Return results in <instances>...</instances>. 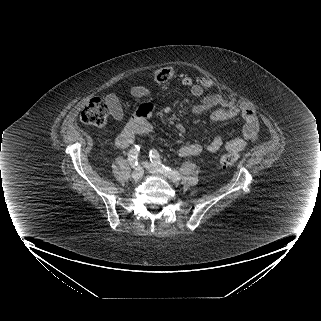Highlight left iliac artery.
<instances>
[{"instance_id": "44dca946", "label": "left iliac artery", "mask_w": 321, "mask_h": 321, "mask_svg": "<svg viewBox=\"0 0 321 321\" xmlns=\"http://www.w3.org/2000/svg\"><path fill=\"white\" fill-rule=\"evenodd\" d=\"M150 160L154 166L161 172H163L169 179L174 182L180 181L181 176L176 170H172L161 163L159 153L153 149L149 152Z\"/></svg>"}]
</instances>
